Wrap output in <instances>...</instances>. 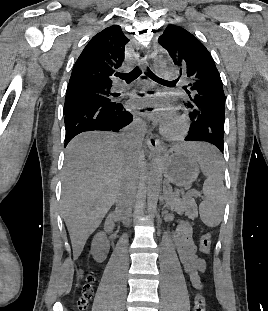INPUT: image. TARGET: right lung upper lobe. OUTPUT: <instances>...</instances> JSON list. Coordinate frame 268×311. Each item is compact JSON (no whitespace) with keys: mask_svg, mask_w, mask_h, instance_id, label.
<instances>
[{"mask_svg":"<svg viewBox=\"0 0 268 311\" xmlns=\"http://www.w3.org/2000/svg\"><path fill=\"white\" fill-rule=\"evenodd\" d=\"M128 42L119 25L107 27L96 34L76 61L68 88L77 85L111 88V76L122 65Z\"/></svg>","mask_w":268,"mask_h":311,"instance_id":"right-lung-upper-lobe-1","label":"right lung upper lobe"}]
</instances>
